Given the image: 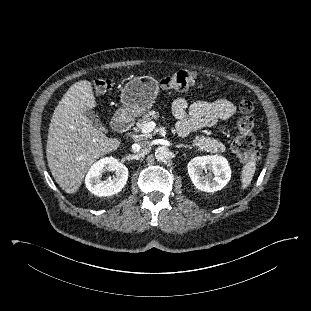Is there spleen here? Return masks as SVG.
Returning a JSON list of instances; mask_svg holds the SVG:
<instances>
[{
    "label": "spleen",
    "mask_w": 311,
    "mask_h": 311,
    "mask_svg": "<svg viewBox=\"0 0 311 311\" xmlns=\"http://www.w3.org/2000/svg\"><path fill=\"white\" fill-rule=\"evenodd\" d=\"M256 169V162L254 160H249L247 163L243 166L242 171H241V189L244 190L246 189L254 176Z\"/></svg>",
    "instance_id": "1"
}]
</instances>
